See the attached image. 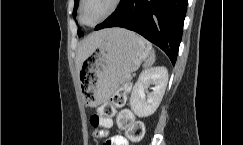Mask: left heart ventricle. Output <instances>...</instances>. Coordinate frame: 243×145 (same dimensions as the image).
<instances>
[{"label": "left heart ventricle", "instance_id": "b2bd125f", "mask_svg": "<svg viewBox=\"0 0 243 145\" xmlns=\"http://www.w3.org/2000/svg\"><path fill=\"white\" fill-rule=\"evenodd\" d=\"M111 3L112 0H86L82 12L84 23H95L109 9Z\"/></svg>", "mask_w": 243, "mask_h": 145}]
</instances>
